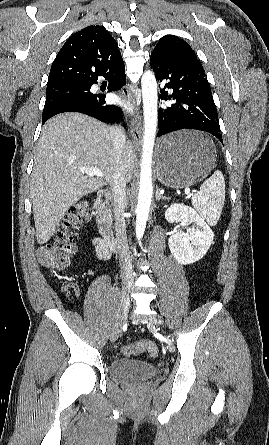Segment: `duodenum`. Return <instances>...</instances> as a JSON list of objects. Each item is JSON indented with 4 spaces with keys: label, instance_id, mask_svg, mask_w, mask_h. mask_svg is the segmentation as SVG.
<instances>
[{
    "label": "duodenum",
    "instance_id": "410a0bca",
    "mask_svg": "<svg viewBox=\"0 0 269 445\" xmlns=\"http://www.w3.org/2000/svg\"><path fill=\"white\" fill-rule=\"evenodd\" d=\"M109 200V192L106 190L98 191L95 204H94V216L99 228L102 240L110 251H115L117 242L111 227V224L106 215V207Z\"/></svg>",
    "mask_w": 269,
    "mask_h": 445
}]
</instances>
